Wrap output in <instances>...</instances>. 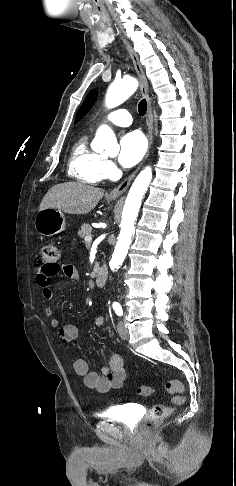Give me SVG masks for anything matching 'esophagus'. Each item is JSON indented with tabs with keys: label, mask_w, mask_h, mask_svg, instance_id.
Instances as JSON below:
<instances>
[{
	"label": "esophagus",
	"mask_w": 236,
	"mask_h": 486,
	"mask_svg": "<svg viewBox=\"0 0 236 486\" xmlns=\"http://www.w3.org/2000/svg\"><path fill=\"white\" fill-rule=\"evenodd\" d=\"M121 39L123 40L124 44L127 47V50L130 54V57L133 61L134 68L139 76L140 79V90L142 96L146 99L147 101V126H148V142H149V147L147 154L145 158L148 156L149 149L152 145L153 142V124H154V118H153V112H152V105H151V99L149 97V92H148V81L145 76L144 68L139 60V57L137 53L134 51L132 46L127 42V40L121 36ZM140 166L130 175L128 176L122 183H120L116 188L110 191L109 196L112 198H117L121 196L130 186L132 180L136 176L137 172L139 171Z\"/></svg>",
	"instance_id": "obj_1"
}]
</instances>
